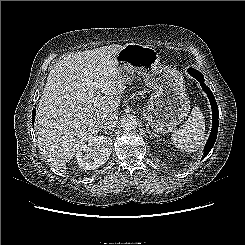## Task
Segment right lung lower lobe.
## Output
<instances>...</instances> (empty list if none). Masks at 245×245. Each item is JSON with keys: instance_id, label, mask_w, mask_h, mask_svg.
I'll return each mask as SVG.
<instances>
[{"instance_id": "1", "label": "right lung lower lobe", "mask_w": 245, "mask_h": 245, "mask_svg": "<svg viewBox=\"0 0 245 245\" xmlns=\"http://www.w3.org/2000/svg\"><path fill=\"white\" fill-rule=\"evenodd\" d=\"M35 112H36V110L33 109V112H32V123H34V121H35Z\"/></svg>"}]
</instances>
